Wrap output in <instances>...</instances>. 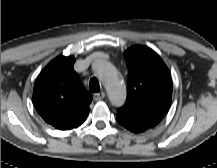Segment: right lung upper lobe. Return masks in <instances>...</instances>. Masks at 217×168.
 <instances>
[{
	"mask_svg": "<svg viewBox=\"0 0 217 168\" xmlns=\"http://www.w3.org/2000/svg\"><path fill=\"white\" fill-rule=\"evenodd\" d=\"M75 58L59 56L39 74L33 90V103L43 120L59 130L80 126L87 118L92 95L88 93L73 66Z\"/></svg>",
	"mask_w": 217,
	"mask_h": 168,
	"instance_id": "cb5924a9",
	"label": "right lung upper lobe"
}]
</instances>
